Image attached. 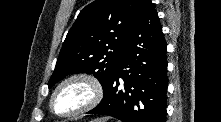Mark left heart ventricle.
<instances>
[{
  "label": "left heart ventricle",
  "mask_w": 221,
  "mask_h": 122,
  "mask_svg": "<svg viewBox=\"0 0 221 122\" xmlns=\"http://www.w3.org/2000/svg\"><path fill=\"white\" fill-rule=\"evenodd\" d=\"M89 88L83 83H71L55 97L54 108L59 113H69L81 108L89 99Z\"/></svg>",
  "instance_id": "1"
}]
</instances>
